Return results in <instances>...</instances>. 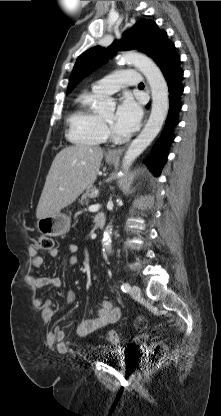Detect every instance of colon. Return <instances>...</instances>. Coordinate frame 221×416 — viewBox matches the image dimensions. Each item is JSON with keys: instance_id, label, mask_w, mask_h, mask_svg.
<instances>
[{"instance_id": "obj_1", "label": "colon", "mask_w": 221, "mask_h": 416, "mask_svg": "<svg viewBox=\"0 0 221 416\" xmlns=\"http://www.w3.org/2000/svg\"><path fill=\"white\" fill-rule=\"evenodd\" d=\"M39 247L42 250L51 251L54 249V239L50 236L42 235L39 238ZM136 327L139 330H142L146 327V320L143 317H139L136 321ZM106 339L109 342H116L118 340V334L114 330H109L106 334ZM167 350L165 345L162 343L155 344L147 358V363L150 366L158 364L166 355Z\"/></svg>"}]
</instances>
